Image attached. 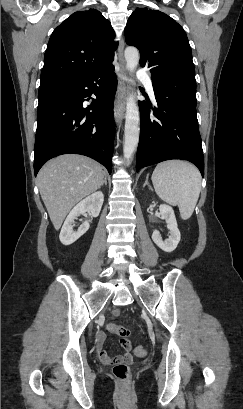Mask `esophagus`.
I'll return each instance as SVG.
<instances>
[{
    "label": "esophagus",
    "instance_id": "esophagus-1",
    "mask_svg": "<svg viewBox=\"0 0 243 409\" xmlns=\"http://www.w3.org/2000/svg\"><path fill=\"white\" fill-rule=\"evenodd\" d=\"M123 50H124V40H121L119 47H118V60L120 64V71H119V84L117 93L114 100V118L116 123H119L124 118L125 112V98H126V91L128 87V77L127 71L125 68V62L123 57Z\"/></svg>",
    "mask_w": 243,
    "mask_h": 409
}]
</instances>
